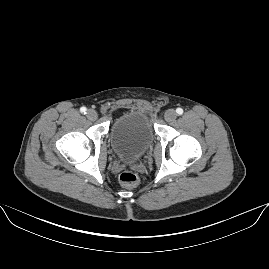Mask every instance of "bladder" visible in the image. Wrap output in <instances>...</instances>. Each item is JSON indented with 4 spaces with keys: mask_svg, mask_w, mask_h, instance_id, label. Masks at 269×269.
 I'll return each instance as SVG.
<instances>
[{
    "mask_svg": "<svg viewBox=\"0 0 269 269\" xmlns=\"http://www.w3.org/2000/svg\"><path fill=\"white\" fill-rule=\"evenodd\" d=\"M110 140L120 158L136 161L154 142L152 122L139 110L125 111L113 120Z\"/></svg>",
    "mask_w": 269,
    "mask_h": 269,
    "instance_id": "1",
    "label": "bladder"
}]
</instances>
